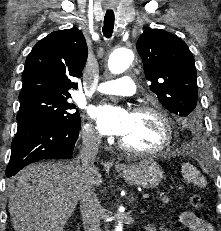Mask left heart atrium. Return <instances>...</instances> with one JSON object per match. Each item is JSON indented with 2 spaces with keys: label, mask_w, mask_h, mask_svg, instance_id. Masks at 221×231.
Masks as SVG:
<instances>
[{
  "label": "left heart atrium",
  "mask_w": 221,
  "mask_h": 231,
  "mask_svg": "<svg viewBox=\"0 0 221 231\" xmlns=\"http://www.w3.org/2000/svg\"><path fill=\"white\" fill-rule=\"evenodd\" d=\"M91 114L104 135L123 136L130 127L132 114L121 107L102 105L94 108Z\"/></svg>",
  "instance_id": "left-heart-atrium-1"
}]
</instances>
